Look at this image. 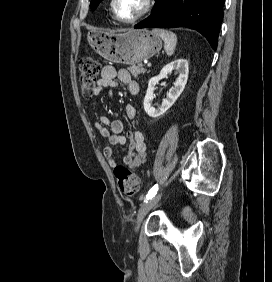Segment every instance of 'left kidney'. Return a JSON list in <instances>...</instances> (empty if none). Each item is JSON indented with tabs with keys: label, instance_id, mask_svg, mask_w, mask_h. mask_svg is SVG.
Returning a JSON list of instances; mask_svg holds the SVG:
<instances>
[{
	"label": "left kidney",
	"instance_id": "1",
	"mask_svg": "<svg viewBox=\"0 0 272 282\" xmlns=\"http://www.w3.org/2000/svg\"><path fill=\"white\" fill-rule=\"evenodd\" d=\"M172 71L179 73V76L174 83V87L169 90V92L167 93V97L163 100L161 106L158 108H154L152 106V100L155 97V86L159 83L161 79L167 78ZM188 73V61L185 59H177L165 65L161 69L159 75L152 77L149 80L148 88L143 102L144 110L148 114V116L152 118H158L159 116L163 115L175 103V101L178 99V97L181 95L185 88L188 79Z\"/></svg>",
	"mask_w": 272,
	"mask_h": 282
}]
</instances>
